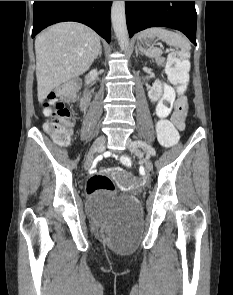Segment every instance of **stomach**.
I'll return each instance as SVG.
<instances>
[{"label":"stomach","instance_id":"obj_1","mask_svg":"<svg viewBox=\"0 0 233 295\" xmlns=\"http://www.w3.org/2000/svg\"><path fill=\"white\" fill-rule=\"evenodd\" d=\"M154 40V37H147L141 40L143 45L150 46L151 42Z\"/></svg>","mask_w":233,"mask_h":295}]
</instances>
